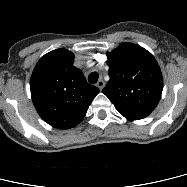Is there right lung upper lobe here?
Instances as JSON below:
<instances>
[{"instance_id": "right-lung-upper-lobe-1", "label": "right lung upper lobe", "mask_w": 187, "mask_h": 187, "mask_svg": "<svg viewBox=\"0 0 187 187\" xmlns=\"http://www.w3.org/2000/svg\"><path fill=\"white\" fill-rule=\"evenodd\" d=\"M74 54L56 49L36 64L30 82L33 104L52 127L70 129L79 124L99 89L87 83L73 66Z\"/></svg>"}]
</instances>
